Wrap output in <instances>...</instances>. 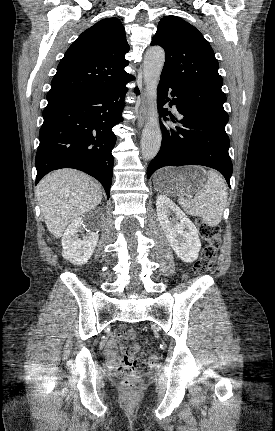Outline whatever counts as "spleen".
Instances as JSON below:
<instances>
[{"label":"spleen","instance_id":"1","mask_svg":"<svg viewBox=\"0 0 275 431\" xmlns=\"http://www.w3.org/2000/svg\"><path fill=\"white\" fill-rule=\"evenodd\" d=\"M206 184L195 194L194 200L179 198L184 211L192 216H200L209 226H217L223 215L227 201V188L223 178L215 171L205 172Z\"/></svg>","mask_w":275,"mask_h":431}]
</instances>
